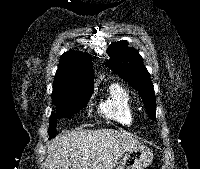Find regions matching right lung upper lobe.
I'll list each match as a JSON object with an SVG mask.
<instances>
[{"label":"right lung upper lobe","mask_w":200,"mask_h":169,"mask_svg":"<svg viewBox=\"0 0 200 169\" xmlns=\"http://www.w3.org/2000/svg\"><path fill=\"white\" fill-rule=\"evenodd\" d=\"M93 92V66L88 54L76 51L64 53L53 83L52 100Z\"/></svg>","instance_id":"cb5924a9"}]
</instances>
